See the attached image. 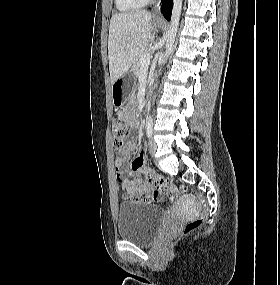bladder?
<instances>
[{
	"label": "bladder",
	"mask_w": 280,
	"mask_h": 285,
	"mask_svg": "<svg viewBox=\"0 0 280 285\" xmlns=\"http://www.w3.org/2000/svg\"><path fill=\"white\" fill-rule=\"evenodd\" d=\"M164 211L143 202H122L118 208L117 229L121 239L150 243L158 235Z\"/></svg>",
	"instance_id": "1"
}]
</instances>
